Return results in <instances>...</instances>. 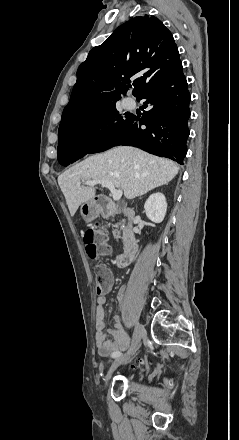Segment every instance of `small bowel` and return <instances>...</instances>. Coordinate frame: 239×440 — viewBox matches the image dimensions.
Returning a JSON list of instances; mask_svg holds the SVG:
<instances>
[{
	"mask_svg": "<svg viewBox=\"0 0 239 440\" xmlns=\"http://www.w3.org/2000/svg\"><path fill=\"white\" fill-rule=\"evenodd\" d=\"M107 269V268H106ZM109 275V283L106 289L99 294L96 305V346L98 352L102 356L112 355L114 352H122L129 347V338L122 325L119 315L114 316V328L105 331V304L106 298L104 294L108 292L112 286V274L107 269ZM124 287H121L118 292V297L123 298Z\"/></svg>",
	"mask_w": 239,
	"mask_h": 440,
	"instance_id": "small-bowel-1",
	"label": "small bowel"
}]
</instances>
